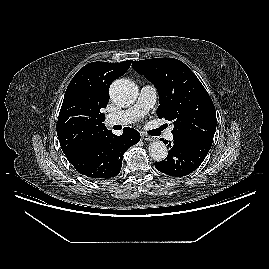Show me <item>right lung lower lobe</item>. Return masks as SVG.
<instances>
[{
  "label": "right lung lower lobe",
  "mask_w": 269,
  "mask_h": 269,
  "mask_svg": "<svg viewBox=\"0 0 269 269\" xmlns=\"http://www.w3.org/2000/svg\"><path fill=\"white\" fill-rule=\"evenodd\" d=\"M139 141L140 133L126 127L121 136L110 131L67 158L80 174L90 179H110L119 174L124 152Z\"/></svg>",
  "instance_id": "obj_1"
}]
</instances>
